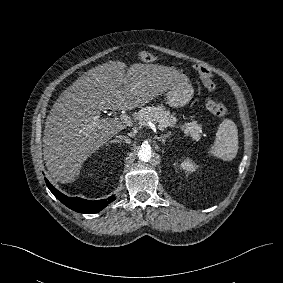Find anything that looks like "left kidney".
Returning a JSON list of instances; mask_svg holds the SVG:
<instances>
[{"mask_svg":"<svg viewBox=\"0 0 283 283\" xmlns=\"http://www.w3.org/2000/svg\"><path fill=\"white\" fill-rule=\"evenodd\" d=\"M180 168L187 171V172H194L197 168L196 164L194 162H192V160L190 159H184L181 163H180Z\"/></svg>","mask_w":283,"mask_h":283,"instance_id":"5707ae66","label":"left kidney"}]
</instances>
